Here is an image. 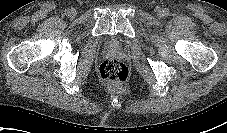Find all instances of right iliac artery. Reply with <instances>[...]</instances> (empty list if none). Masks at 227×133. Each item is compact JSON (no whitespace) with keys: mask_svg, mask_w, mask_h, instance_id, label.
Masks as SVG:
<instances>
[{"mask_svg":"<svg viewBox=\"0 0 227 133\" xmlns=\"http://www.w3.org/2000/svg\"><path fill=\"white\" fill-rule=\"evenodd\" d=\"M69 12H70L69 9H66V10H65V14H66V15H69Z\"/></svg>","mask_w":227,"mask_h":133,"instance_id":"right-iliac-artery-1","label":"right iliac artery"}]
</instances>
